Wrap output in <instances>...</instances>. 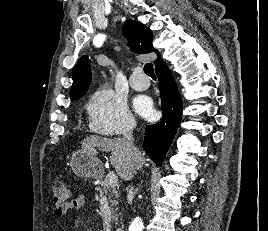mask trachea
Here are the masks:
<instances>
[{"label": "trachea", "instance_id": "3493384b", "mask_svg": "<svg viewBox=\"0 0 268 231\" xmlns=\"http://www.w3.org/2000/svg\"><path fill=\"white\" fill-rule=\"evenodd\" d=\"M144 73L150 76L151 78H156L152 63H147L144 66Z\"/></svg>", "mask_w": 268, "mask_h": 231}]
</instances>
